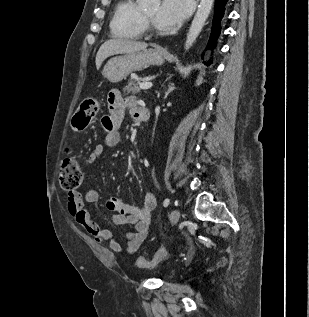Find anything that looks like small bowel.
<instances>
[{
  "instance_id": "c3829d8e",
  "label": "small bowel",
  "mask_w": 309,
  "mask_h": 317,
  "mask_svg": "<svg viewBox=\"0 0 309 317\" xmlns=\"http://www.w3.org/2000/svg\"><path fill=\"white\" fill-rule=\"evenodd\" d=\"M108 107L109 114L101 119L105 131L104 142L96 145L89 154L88 162L90 164L97 162L106 148H114L119 144V127L127 107L130 109L132 117L138 120L140 108L138 101L132 97L124 98L116 89L111 90L108 94ZM98 200L99 192L94 188L88 189L85 193L69 192L67 196L68 212L74 221L91 234L98 243H107L110 250L121 253L123 252L122 243L116 240L111 231L103 224L94 221L86 209V203H96ZM107 207L115 213L111 218L114 224L134 226L133 230L129 231L122 240L126 243V250L134 253L147 235L151 214L156 207L155 196L149 191L144 192L141 206L127 204L120 199L112 198L108 201ZM100 217L104 221L101 213Z\"/></svg>"
}]
</instances>
